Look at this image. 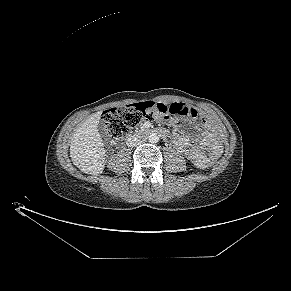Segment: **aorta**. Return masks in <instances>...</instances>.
I'll return each instance as SVG.
<instances>
[{"label":"aorta","instance_id":"obj_1","mask_svg":"<svg viewBox=\"0 0 291 291\" xmlns=\"http://www.w3.org/2000/svg\"><path fill=\"white\" fill-rule=\"evenodd\" d=\"M150 143H157L159 141V136L156 133H151L148 137Z\"/></svg>","mask_w":291,"mask_h":291}]
</instances>
